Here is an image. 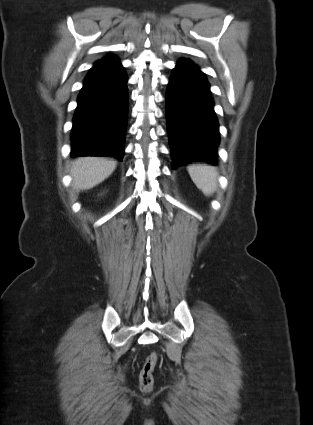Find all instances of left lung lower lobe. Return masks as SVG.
I'll list each match as a JSON object with an SVG mask.
<instances>
[{
  "mask_svg": "<svg viewBox=\"0 0 313 425\" xmlns=\"http://www.w3.org/2000/svg\"><path fill=\"white\" fill-rule=\"evenodd\" d=\"M166 111L173 168L190 162L216 164L219 124L210 85L190 60L177 62L168 85Z\"/></svg>",
  "mask_w": 313,
  "mask_h": 425,
  "instance_id": "obj_1",
  "label": "left lung lower lobe"
}]
</instances>
